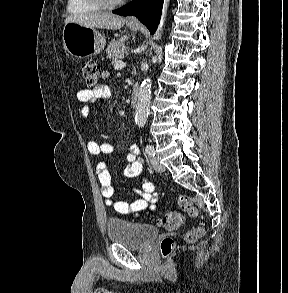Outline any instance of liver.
Returning a JSON list of instances; mask_svg holds the SVG:
<instances>
[{"instance_id":"liver-1","label":"liver","mask_w":288,"mask_h":293,"mask_svg":"<svg viewBox=\"0 0 288 293\" xmlns=\"http://www.w3.org/2000/svg\"><path fill=\"white\" fill-rule=\"evenodd\" d=\"M77 22L86 27L117 30L124 26L126 20L109 12L73 14L65 19V24Z\"/></svg>"}]
</instances>
